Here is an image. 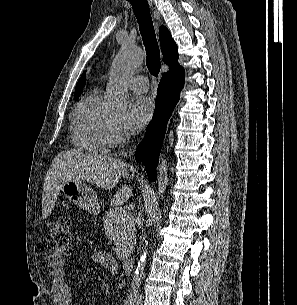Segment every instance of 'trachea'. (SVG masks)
<instances>
[{"label": "trachea", "instance_id": "trachea-1", "mask_svg": "<svg viewBox=\"0 0 297 305\" xmlns=\"http://www.w3.org/2000/svg\"><path fill=\"white\" fill-rule=\"evenodd\" d=\"M137 18L142 40L146 50V65L153 76L160 72V50L147 0H129Z\"/></svg>", "mask_w": 297, "mask_h": 305}]
</instances>
